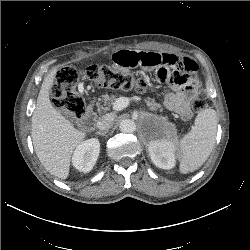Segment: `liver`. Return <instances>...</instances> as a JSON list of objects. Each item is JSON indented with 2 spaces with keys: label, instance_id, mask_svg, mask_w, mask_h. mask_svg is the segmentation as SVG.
<instances>
[{
  "label": "liver",
  "instance_id": "6515ba94",
  "mask_svg": "<svg viewBox=\"0 0 250 250\" xmlns=\"http://www.w3.org/2000/svg\"><path fill=\"white\" fill-rule=\"evenodd\" d=\"M57 69L45 77L32 114V141L37 157L53 176L66 179L69 175L71 156L82 143L86 133L73 124L51 104L49 92L54 84Z\"/></svg>",
  "mask_w": 250,
  "mask_h": 250
}]
</instances>
